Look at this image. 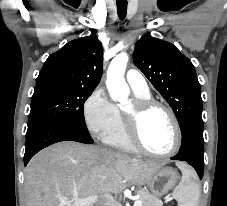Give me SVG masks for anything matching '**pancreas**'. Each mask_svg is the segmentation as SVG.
Masks as SVG:
<instances>
[{"label": "pancreas", "mask_w": 227, "mask_h": 206, "mask_svg": "<svg viewBox=\"0 0 227 206\" xmlns=\"http://www.w3.org/2000/svg\"><path fill=\"white\" fill-rule=\"evenodd\" d=\"M137 194L140 196L139 201L142 202V206H162L163 203L152 193L139 189Z\"/></svg>", "instance_id": "1"}]
</instances>
